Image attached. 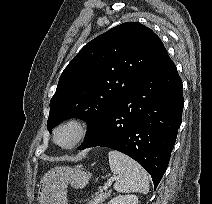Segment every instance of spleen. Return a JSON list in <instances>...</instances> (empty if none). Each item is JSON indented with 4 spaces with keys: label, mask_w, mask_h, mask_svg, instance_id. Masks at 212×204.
<instances>
[{
    "label": "spleen",
    "mask_w": 212,
    "mask_h": 204,
    "mask_svg": "<svg viewBox=\"0 0 212 204\" xmlns=\"http://www.w3.org/2000/svg\"><path fill=\"white\" fill-rule=\"evenodd\" d=\"M111 171L118 176L114 189L121 193L149 192V180L142 166L127 155L112 150L108 153Z\"/></svg>",
    "instance_id": "spleen-1"
}]
</instances>
